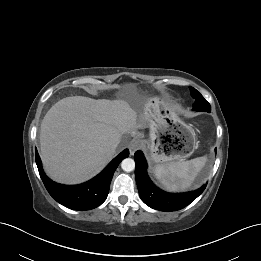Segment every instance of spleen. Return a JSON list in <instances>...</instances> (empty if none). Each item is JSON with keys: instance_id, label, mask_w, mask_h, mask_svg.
<instances>
[{"instance_id": "spleen-1", "label": "spleen", "mask_w": 261, "mask_h": 261, "mask_svg": "<svg viewBox=\"0 0 261 261\" xmlns=\"http://www.w3.org/2000/svg\"><path fill=\"white\" fill-rule=\"evenodd\" d=\"M206 160L204 156L189 161L158 164L153 168V173L168 189L173 191L185 190L191 186Z\"/></svg>"}]
</instances>
